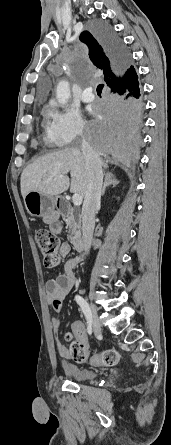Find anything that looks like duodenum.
Returning a JSON list of instances; mask_svg holds the SVG:
<instances>
[{
    "instance_id": "410a0bca",
    "label": "duodenum",
    "mask_w": 171,
    "mask_h": 445,
    "mask_svg": "<svg viewBox=\"0 0 171 445\" xmlns=\"http://www.w3.org/2000/svg\"><path fill=\"white\" fill-rule=\"evenodd\" d=\"M58 209L62 214L66 213L68 210L67 202L65 200H59ZM73 244L78 251H82L85 246V241L83 236H81L80 234L76 235L73 239Z\"/></svg>"
}]
</instances>
